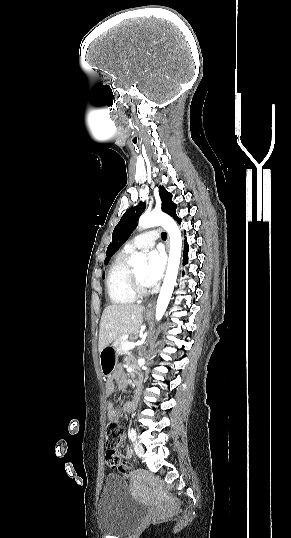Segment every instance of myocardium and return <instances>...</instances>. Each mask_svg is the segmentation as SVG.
<instances>
[{"label":"myocardium","mask_w":291,"mask_h":538,"mask_svg":"<svg viewBox=\"0 0 291 538\" xmlns=\"http://www.w3.org/2000/svg\"><path fill=\"white\" fill-rule=\"evenodd\" d=\"M129 286L130 290L133 293V295L136 298H142L149 294V289L147 287H144L137 276L135 275L134 271L131 269L129 273Z\"/></svg>","instance_id":"1"}]
</instances>
